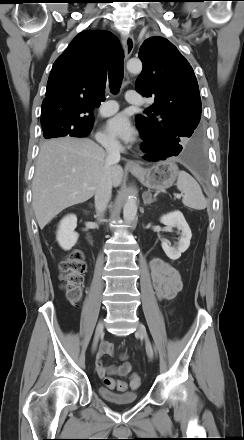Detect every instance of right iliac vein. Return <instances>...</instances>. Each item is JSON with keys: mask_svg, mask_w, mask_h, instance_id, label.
Returning <instances> with one entry per match:
<instances>
[{"mask_svg": "<svg viewBox=\"0 0 244 440\" xmlns=\"http://www.w3.org/2000/svg\"><path fill=\"white\" fill-rule=\"evenodd\" d=\"M103 333V321H99L95 330V336L92 344V351L95 352L98 346L99 338Z\"/></svg>", "mask_w": 244, "mask_h": 440, "instance_id": "63e3f726", "label": "right iliac vein"}]
</instances>
